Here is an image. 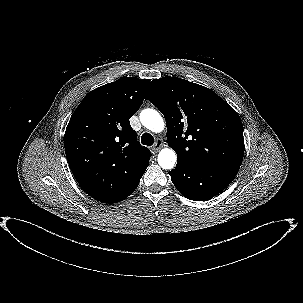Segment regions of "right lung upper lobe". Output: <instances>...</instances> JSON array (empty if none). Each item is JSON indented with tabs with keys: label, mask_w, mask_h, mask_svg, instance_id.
<instances>
[{
	"label": "right lung upper lobe",
	"mask_w": 303,
	"mask_h": 303,
	"mask_svg": "<svg viewBox=\"0 0 303 303\" xmlns=\"http://www.w3.org/2000/svg\"><path fill=\"white\" fill-rule=\"evenodd\" d=\"M149 82L124 77L92 90L68 123L64 143L70 169L82 189L100 202L132 186L149 164L151 152L137 141L129 122Z\"/></svg>",
	"instance_id": "right-lung-upper-lobe-1"
}]
</instances>
